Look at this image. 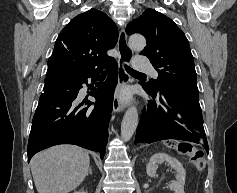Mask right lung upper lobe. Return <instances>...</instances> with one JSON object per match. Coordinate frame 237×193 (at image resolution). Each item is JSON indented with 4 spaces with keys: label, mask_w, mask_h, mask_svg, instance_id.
I'll use <instances>...</instances> for the list:
<instances>
[{
    "label": "right lung upper lobe",
    "mask_w": 237,
    "mask_h": 193,
    "mask_svg": "<svg viewBox=\"0 0 237 193\" xmlns=\"http://www.w3.org/2000/svg\"><path fill=\"white\" fill-rule=\"evenodd\" d=\"M118 40L115 23L103 12L90 9L74 17L56 40L48 68L84 74L106 67L114 61L106 54Z\"/></svg>",
    "instance_id": "1"
}]
</instances>
